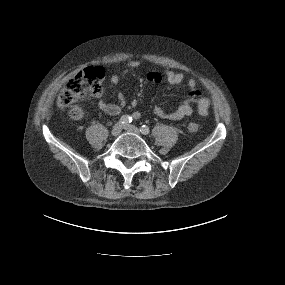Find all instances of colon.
<instances>
[{
  "instance_id": "colon-1",
  "label": "colon",
  "mask_w": 285,
  "mask_h": 285,
  "mask_svg": "<svg viewBox=\"0 0 285 285\" xmlns=\"http://www.w3.org/2000/svg\"><path fill=\"white\" fill-rule=\"evenodd\" d=\"M104 71L99 66H89L81 70L70 79L57 98V105L61 109L68 108L69 117L80 120L83 117L82 109L76 105L77 102L87 97H97L102 91V80ZM200 129L198 122L192 121L188 124L189 132H197Z\"/></svg>"
}]
</instances>
